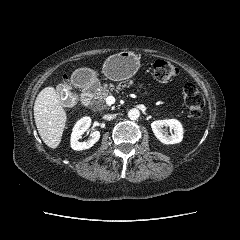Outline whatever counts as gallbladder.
<instances>
[{
    "label": "gallbladder",
    "instance_id": "1",
    "mask_svg": "<svg viewBox=\"0 0 240 240\" xmlns=\"http://www.w3.org/2000/svg\"><path fill=\"white\" fill-rule=\"evenodd\" d=\"M63 89H64V85H63V84L57 85V92L60 93L62 97L64 96V95H62ZM61 103H62V105H64V106H68V105H70V103H71V98L66 97V98H64V99L61 101Z\"/></svg>",
    "mask_w": 240,
    "mask_h": 240
}]
</instances>
